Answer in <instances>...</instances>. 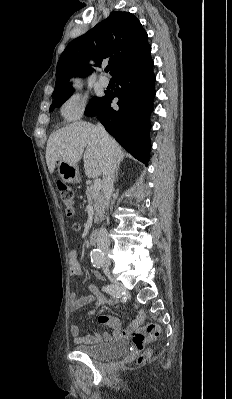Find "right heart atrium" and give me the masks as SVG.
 Returning <instances> with one entry per match:
<instances>
[{
	"label": "right heart atrium",
	"instance_id": "obj_1",
	"mask_svg": "<svg viewBox=\"0 0 232 399\" xmlns=\"http://www.w3.org/2000/svg\"><path fill=\"white\" fill-rule=\"evenodd\" d=\"M87 106L79 104L75 99L69 100L60 107L63 123L71 125V120H81L86 114Z\"/></svg>",
	"mask_w": 232,
	"mask_h": 399
}]
</instances>
